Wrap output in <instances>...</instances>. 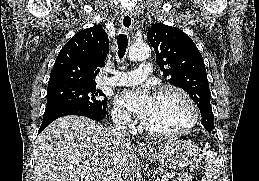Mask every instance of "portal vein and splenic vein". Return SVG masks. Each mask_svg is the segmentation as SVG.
Here are the masks:
<instances>
[{
	"label": "portal vein and splenic vein",
	"mask_w": 259,
	"mask_h": 181,
	"mask_svg": "<svg viewBox=\"0 0 259 181\" xmlns=\"http://www.w3.org/2000/svg\"><path fill=\"white\" fill-rule=\"evenodd\" d=\"M191 170H193V169H191ZM175 175H176V173H174V172H172L170 174H166V175L162 176L161 181H168L169 179L173 178ZM157 181H159V180H157Z\"/></svg>",
	"instance_id": "obj_1"
}]
</instances>
